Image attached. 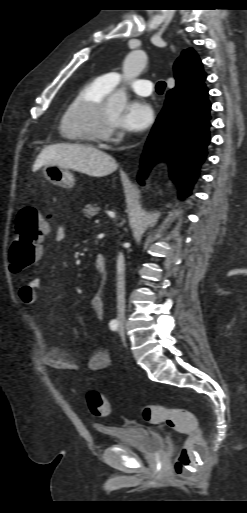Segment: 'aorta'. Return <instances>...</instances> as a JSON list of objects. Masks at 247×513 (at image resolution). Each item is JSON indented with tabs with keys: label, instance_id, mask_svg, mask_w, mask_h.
Here are the masks:
<instances>
[{
	"label": "aorta",
	"instance_id": "obj_1",
	"mask_svg": "<svg viewBox=\"0 0 247 513\" xmlns=\"http://www.w3.org/2000/svg\"><path fill=\"white\" fill-rule=\"evenodd\" d=\"M147 63L146 53L142 50L130 52L123 63V77L125 81L133 79L140 75ZM127 102L126 87L122 86L117 89L108 99L110 108L117 111H123Z\"/></svg>",
	"mask_w": 247,
	"mask_h": 513
}]
</instances>
